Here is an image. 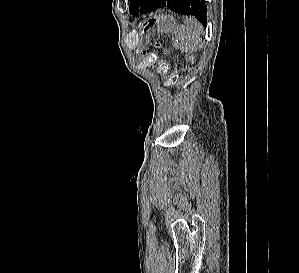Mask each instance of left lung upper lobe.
<instances>
[{"label":"left lung upper lobe","mask_w":299,"mask_h":273,"mask_svg":"<svg viewBox=\"0 0 299 273\" xmlns=\"http://www.w3.org/2000/svg\"><path fill=\"white\" fill-rule=\"evenodd\" d=\"M146 0H130V13L137 15L144 7Z\"/></svg>","instance_id":"5c2ea615"}]
</instances>
